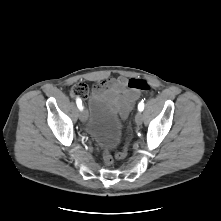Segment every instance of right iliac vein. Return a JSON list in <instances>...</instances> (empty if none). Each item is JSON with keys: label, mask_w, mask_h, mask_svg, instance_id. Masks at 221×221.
Wrapping results in <instances>:
<instances>
[{"label": "right iliac vein", "mask_w": 221, "mask_h": 221, "mask_svg": "<svg viewBox=\"0 0 221 221\" xmlns=\"http://www.w3.org/2000/svg\"><path fill=\"white\" fill-rule=\"evenodd\" d=\"M79 118L82 122H85L88 118V115H87V111L85 109H82L79 113Z\"/></svg>", "instance_id": "obj_1"}]
</instances>
